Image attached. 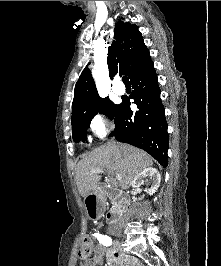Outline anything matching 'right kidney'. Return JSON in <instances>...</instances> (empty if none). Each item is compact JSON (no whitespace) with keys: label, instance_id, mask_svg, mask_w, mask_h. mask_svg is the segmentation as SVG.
<instances>
[{"label":"right kidney","instance_id":"right-kidney-1","mask_svg":"<svg viewBox=\"0 0 221 266\" xmlns=\"http://www.w3.org/2000/svg\"><path fill=\"white\" fill-rule=\"evenodd\" d=\"M147 178H149L151 187L145 189V191H147L150 195H153L157 191L161 181V175L155 168L148 167L142 170L134 178L132 185L139 189L144 184V182L148 181Z\"/></svg>","mask_w":221,"mask_h":266}]
</instances>
